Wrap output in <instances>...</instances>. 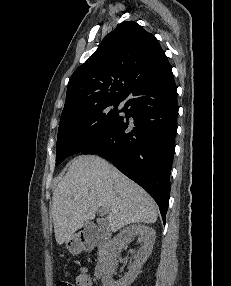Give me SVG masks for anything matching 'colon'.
<instances>
[{
    "label": "colon",
    "mask_w": 231,
    "mask_h": 286,
    "mask_svg": "<svg viewBox=\"0 0 231 286\" xmlns=\"http://www.w3.org/2000/svg\"><path fill=\"white\" fill-rule=\"evenodd\" d=\"M56 286H76L75 284L67 281L59 282Z\"/></svg>",
    "instance_id": "5ec220e1"
}]
</instances>
